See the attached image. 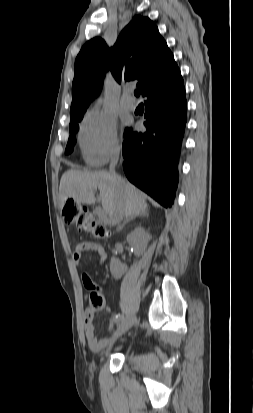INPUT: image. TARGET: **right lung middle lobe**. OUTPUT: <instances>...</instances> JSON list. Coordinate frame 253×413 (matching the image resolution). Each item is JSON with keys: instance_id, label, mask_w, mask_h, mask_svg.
<instances>
[{"instance_id": "dd1d6c3e", "label": "right lung middle lobe", "mask_w": 253, "mask_h": 413, "mask_svg": "<svg viewBox=\"0 0 253 413\" xmlns=\"http://www.w3.org/2000/svg\"><path fill=\"white\" fill-rule=\"evenodd\" d=\"M83 116L77 117L74 120H71L69 125V131L72 134L68 139V144L66 146L65 153L69 154L73 151L74 145L76 143L75 134L78 132L79 126L78 123L82 120Z\"/></svg>"}]
</instances>
